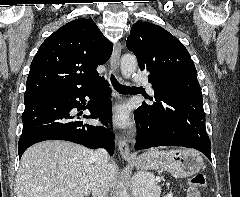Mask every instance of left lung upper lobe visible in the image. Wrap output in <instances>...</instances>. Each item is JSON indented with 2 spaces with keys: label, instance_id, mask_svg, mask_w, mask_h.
<instances>
[{
  "label": "left lung upper lobe",
  "instance_id": "left-lung-upper-lobe-1",
  "mask_svg": "<svg viewBox=\"0 0 240 197\" xmlns=\"http://www.w3.org/2000/svg\"><path fill=\"white\" fill-rule=\"evenodd\" d=\"M126 45L136 55L140 69L150 72L156 102L184 91L202 94L189 52L164 28L137 22L131 28Z\"/></svg>",
  "mask_w": 240,
  "mask_h": 197
}]
</instances>
